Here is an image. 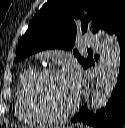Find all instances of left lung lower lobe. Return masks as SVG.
I'll list each match as a JSON object with an SVG mask.
<instances>
[{
  "mask_svg": "<svg viewBox=\"0 0 125 128\" xmlns=\"http://www.w3.org/2000/svg\"><path fill=\"white\" fill-rule=\"evenodd\" d=\"M120 47V67L117 84L105 108L94 114L85 104L72 122H83L94 128H123L125 125V24L115 33ZM95 65V62L91 65Z\"/></svg>",
  "mask_w": 125,
  "mask_h": 128,
  "instance_id": "obj_1",
  "label": "left lung lower lobe"
}]
</instances>
